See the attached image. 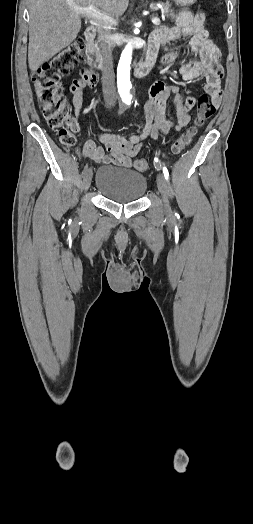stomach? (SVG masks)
Instances as JSON below:
<instances>
[{"mask_svg": "<svg viewBox=\"0 0 253 524\" xmlns=\"http://www.w3.org/2000/svg\"><path fill=\"white\" fill-rule=\"evenodd\" d=\"M174 2L179 4V5L186 6V5L194 4L196 2V0H174Z\"/></svg>", "mask_w": 253, "mask_h": 524, "instance_id": "obj_1", "label": "stomach"}]
</instances>
